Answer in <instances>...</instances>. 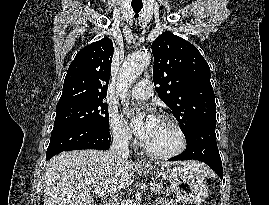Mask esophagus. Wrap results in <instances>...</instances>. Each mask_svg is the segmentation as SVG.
<instances>
[{
    "instance_id": "1",
    "label": "esophagus",
    "mask_w": 269,
    "mask_h": 205,
    "mask_svg": "<svg viewBox=\"0 0 269 205\" xmlns=\"http://www.w3.org/2000/svg\"><path fill=\"white\" fill-rule=\"evenodd\" d=\"M136 164L139 165V166H141V165L144 164V162L142 160H137Z\"/></svg>"
}]
</instances>
